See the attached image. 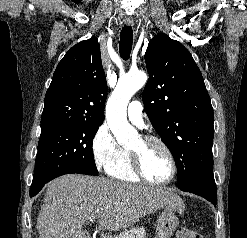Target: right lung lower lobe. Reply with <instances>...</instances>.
Returning a JSON list of instances; mask_svg holds the SVG:
<instances>
[{"label": "right lung lower lobe", "instance_id": "obj_1", "mask_svg": "<svg viewBox=\"0 0 247 238\" xmlns=\"http://www.w3.org/2000/svg\"><path fill=\"white\" fill-rule=\"evenodd\" d=\"M42 187H40V188H38L36 190H30V197L35 196L42 189Z\"/></svg>", "mask_w": 247, "mask_h": 238}]
</instances>
